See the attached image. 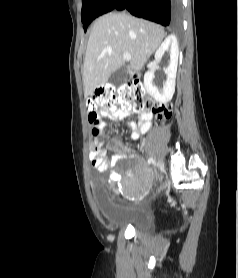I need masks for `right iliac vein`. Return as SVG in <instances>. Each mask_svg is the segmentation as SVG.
Masks as SVG:
<instances>
[{
  "instance_id": "obj_1",
  "label": "right iliac vein",
  "mask_w": 238,
  "mask_h": 278,
  "mask_svg": "<svg viewBox=\"0 0 238 278\" xmlns=\"http://www.w3.org/2000/svg\"><path fill=\"white\" fill-rule=\"evenodd\" d=\"M157 166L160 167L159 171H164L165 166H163V161L162 160L158 161Z\"/></svg>"
}]
</instances>
